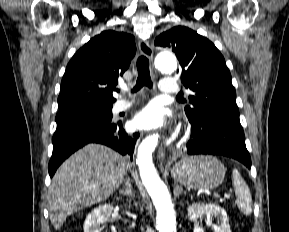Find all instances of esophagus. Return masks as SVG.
I'll list each match as a JSON object with an SVG mask.
<instances>
[{"mask_svg": "<svg viewBox=\"0 0 289 232\" xmlns=\"http://www.w3.org/2000/svg\"><path fill=\"white\" fill-rule=\"evenodd\" d=\"M139 50L141 52V54H143L144 56H146L150 62H153V49L151 47V45L149 44L148 41L146 40H141L139 41ZM165 148L164 147H160L158 149V153H157V157L159 160H162L165 158Z\"/></svg>", "mask_w": 289, "mask_h": 232, "instance_id": "esophagus-1", "label": "esophagus"}]
</instances>
